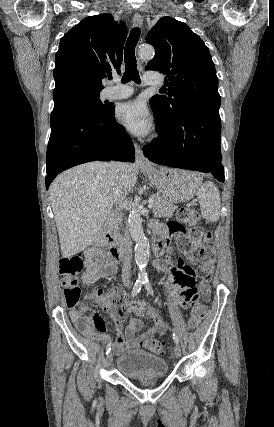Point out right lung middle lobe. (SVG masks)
I'll return each instance as SVG.
<instances>
[{
    "label": "right lung middle lobe",
    "mask_w": 274,
    "mask_h": 427,
    "mask_svg": "<svg viewBox=\"0 0 274 427\" xmlns=\"http://www.w3.org/2000/svg\"><path fill=\"white\" fill-rule=\"evenodd\" d=\"M112 106L103 105L99 99V93L71 95L54 105L51 114V123L56 119L78 111H90L94 114L108 112Z\"/></svg>",
    "instance_id": "obj_1"
}]
</instances>
